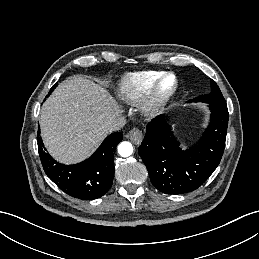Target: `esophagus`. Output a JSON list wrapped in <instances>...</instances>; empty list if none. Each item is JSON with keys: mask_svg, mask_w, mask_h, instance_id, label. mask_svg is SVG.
<instances>
[{"mask_svg": "<svg viewBox=\"0 0 259 259\" xmlns=\"http://www.w3.org/2000/svg\"><path fill=\"white\" fill-rule=\"evenodd\" d=\"M127 137L135 144H140L143 140V132L139 128H134L127 133Z\"/></svg>", "mask_w": 259, "mask_h": 259, "instance_id": "34e87169", "label": "esophagus"}]
</instances>
